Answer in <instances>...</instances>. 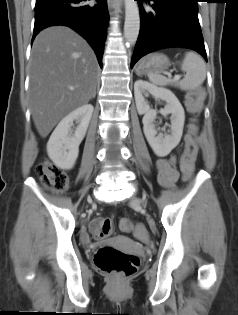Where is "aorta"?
<instances>
[{
    "mask_svg": "<svg viewBox=\"0 0 238 315\" xmlns=\"http://www.w3.org/2000/svg\"><path fill=\"white\" fill-rule=\"evenodd\" d=\"M124 37L128 44L136 43L140 30V14L138 4L134 0H125Z\"/></svg>",
    "mask_w": 238,
    "mask_h": 315,
    "instance_id": "1",
    "label": "aorta"
}]
</instances>
